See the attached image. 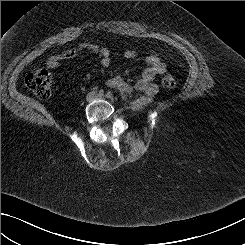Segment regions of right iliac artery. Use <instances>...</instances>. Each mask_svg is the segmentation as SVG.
<instances>
[{"label": "right iliac artery", "instance_id": "1", "mask_svg": "<svg viewBox=\"0 0 245 245\" xmlns=\"http://www.w3.org/2000/svg\"><path fill=\"white\" fill-rule=\"evenodd\" d=\"M98 94H99V95H104V90H103V89L99 90V91H98Z\"/></svg>", "mask_w": 245, "mask_h": 245}]
</instances>
